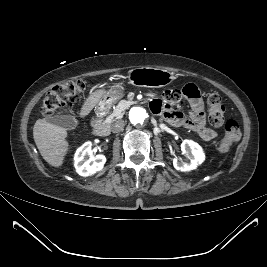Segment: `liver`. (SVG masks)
Instances as JSON below:
<instances>
[{"mask_svg":"<svg viewBox=\"0 0 267 267\" xmlns=\"http://www.w3.org/2000/svg\"><path fill=\"white\" fill-rule=\"evenodd\" d=\"M104 93L99 89L88 96L81 108V115H88ZM65 128L47 122L45 119L36 121L33 138L43 159L51 166L60 167L67 154L69 143L66 140Z\"/></svg>","mask_w":267,"mask_h":267,"instance_id":"obj_1","label":"liver"}]
</instances>
